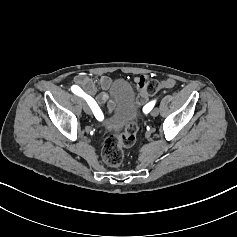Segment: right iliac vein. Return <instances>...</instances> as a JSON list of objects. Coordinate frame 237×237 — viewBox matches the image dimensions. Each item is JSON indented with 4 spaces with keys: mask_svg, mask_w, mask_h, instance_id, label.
I'll list each match as a JSON object with an SVG mask.
<instances>
[{
    "mask_svg": "<svg viewBox=\"0 0 237 237\" xmlns=\"http://www.w3.org/2000/svg\"><path fill=\"white\" fill-rule=\"evenodd\" d=\"M82 106H83V110L85 111L86 114H91V109H90L89 105L84 100L82 101Z\"/></svg>",
    "mask_w": 237,
    "mask_h": 237,
    "instance_id": "63e3f726",
    "label": "right iliac vein"
}]
</instances>
